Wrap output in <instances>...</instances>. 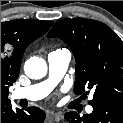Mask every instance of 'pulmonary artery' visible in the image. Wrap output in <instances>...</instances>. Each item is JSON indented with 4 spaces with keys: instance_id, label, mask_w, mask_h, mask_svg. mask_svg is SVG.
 Here are the masks:
<instances>
[{
    "instance_id": "obj_1",
    "label": "pulmonary artery",
    "mask_w": 123,
    "mask_h": 123,
    "mask_svg": "<svg viewBox=\"0 0 123 123\" xmlns=\"http://www.w3.org/2000/svg\"><path fill=\"white\" fill-rule=\"evenodd\" d=\"M70 60L71 54L67 49L50 52L48 55V78L40 83L15 90L14 98L36 101L46 97L66 73ZM86 111L91 113L93 108L88 106Z\"/></svg>"
}]
</instances>
